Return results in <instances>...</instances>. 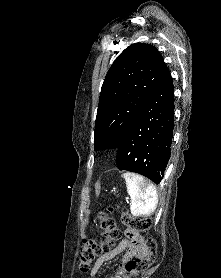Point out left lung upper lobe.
I'll return each instance as SVG.
<instances>
[{
  "label": "left lung upper lobe",
  "mask_w": 221,
  "mask_h": 278,
  "mask_svg": "<svg viewBox=\"0 0 221 278\" xmlns=\"http://www.w3.org/2000/svg\"><path fill=\"white\" fill-rule=\"evenodd\" d=\"M166 68L162 56L150 44H132L117 57L101 88L95 150L119 147Z\"/></svg>",
  "instance_id": "left-lung-upper-lobe-1"
}]
</instances>
